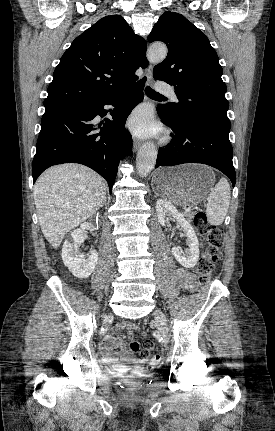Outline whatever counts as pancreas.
I'll list each match as a JSON object with an SVG mask.
<instances>
[{"instance_id": "pancreas-1", "label": "pancreas", "mask_w": 275, "mask_h": 431, "mask_svg": "<svg viewBox=\"0 0 275 431\" xmlns=\"http://www.w3.org/2000/svg\"><path fill=\"white\" fill-rule=\"evenodd\" d=\"M193 217H194L193 213L186 214V218H187L188 221H191Z\"/></svg>"}]
</instances>
